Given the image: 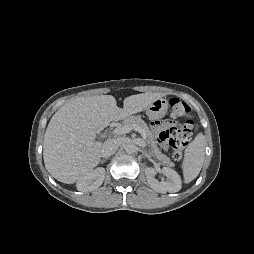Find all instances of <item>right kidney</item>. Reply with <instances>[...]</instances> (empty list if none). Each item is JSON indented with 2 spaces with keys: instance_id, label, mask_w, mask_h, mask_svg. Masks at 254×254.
Here are the masks:
<instances>
[{
  "instance_id": "obj_1",
  "label": "right kidney",
  "mask_w": 254,
  "mask_h": 254,
  "mask_svg": "<svg viewBox=\"0 0 254 254\" xmlns=\"http://www.w3.org/2000/svg\"><path fill=\"white\" fill-rule=\"evenodd\" d=\"M104 178L105 169L96 168L77 181V189L82 192L93 191L102 185Z\"/></svg>"
}]
</instances>
